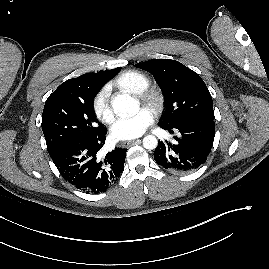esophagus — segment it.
I'll list each match as a JSON object with an SVG mask.
<instances>
[{
    "label": "esophagus",
    "mask_w": 269,
    "mask_h": 269,
    "mask_svg": "<svg viewBox=\"0 0 269 269\" xmlns=\"http://www.w3.org/2000/svg\"><path fill=\"white\" fill-rule=\"evenodd\" d=\"M140 142H141L140 139H135V140H132V141H124V142H122V146L123 147H128L130 144L140 143Z\"/></svg>",
    "instance_id": "34e87169"
}]
</instances>
